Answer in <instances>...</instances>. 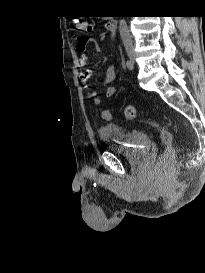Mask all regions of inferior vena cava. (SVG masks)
<instances>
[{"label":"inferior vena cava","instance_id":"inferior-vena-cava-1","mask_svg":"<svg viewBox=\"0 0 205 273\" xmlns=\"http://www.w3.org/2000/svg\"><path fill=\"white\" fill-rule=\"evenodd\" d=\"M119 31L125 47H132V37L125 20H120Z\"/></svg>","mask_w":205,"mask_h":273}]
</instances>
